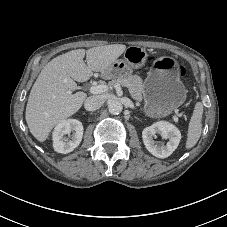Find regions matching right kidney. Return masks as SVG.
Segmentation results:
<instances>
[{
    "label": "right kidney",
    "mask_w": 227,
    "mask_h": 227,
    "mask_svg": "<svg viewBox=\"0 0 227 227\" xmlns=\"http://www.w3.org/2000/svg\"><path fill=\"white\" fill-rule=\"evenodd\" d=\"M83 131V125L79 120H63L55 127L52 134L54 150L63 154L72 152L79 146L83 137ZM71 132H73V134L70 137Z\"/></svg>",
    "instance_id": "obj_1"
}]
</instances>
